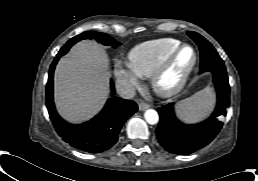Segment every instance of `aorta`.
Returning a JSON list of instances; mask_svg holds the SVG:
<instances>
[{"mask_svg":"<svg viewBox=\"0 0 258 181\" xmlns=\"http://www.w3.org/2000/svg\"><path fill=\"white\" fill-rule=\"evenodd\" d=\"M144 118H145L146 122L151 125H154V124L158 123V121H159V115H158L157 111L154 109L146 110L144 113Z\"/></svg>","mask_w":258,"mask_h":181,"instance_id":"obj_1","label":"aorta"}]
</instances>
